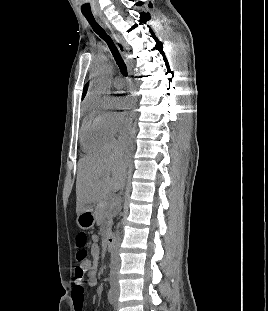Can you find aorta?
<instances>
[{
	"mask_svg": "<svg viewBox=\"0 0 268 311\" xmlns=\"http://www.w3.org/2000/svg\"><path fill=\"white\" fill-rule=\"evenodd\" d=\"M112 67L110 64L101 63L97 66V72L99 75L98 80L95 83V89L99 93H103L107 89V82L105 80V75L111 71Z\"/></svg>",
	"mask_w": 268,
	"mask_h": 311,
	"instance_id": "762f6f07",
	"label": "aorta"
}]
</instances>
